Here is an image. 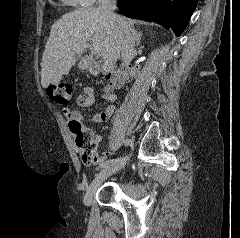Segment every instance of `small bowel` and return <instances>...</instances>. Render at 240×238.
<instances>
[{"label":"small bowel","instance_id":"small-bowel-1","mask_svg":"<svg viewBox=\"0 0 240 238\" xmlns=\"http://www.w3.org/2000/svg\"><path fill=\"white\" fill-rule=\"evenodd\" d=\"M102 99L109 101L111 104L108 105L104 111L95 113L94 115L91 116L90 121L93 123H102L107 121L115 111L114 103L116 102V97L114 95L103 94ZM76 101L77 104L81 107H89L93 105L95 102V94L93 89L91 87H85L83 89V92L77 96ZM63 114L68 121L71 119H76L81 122L83 120V116L81 115L80 112L70 110L69 108H64ZM95 141L97 144H99L101 142V138L99 136H95ZM108 158H109L108 154H103L102 157H100V154L94 153L92 160L94 161V166H101V162H103V159ZM120 173L124 174L125 172L121 171Z\"/></svg>","mask_w":240,"mask_h":238}]
</instances>
